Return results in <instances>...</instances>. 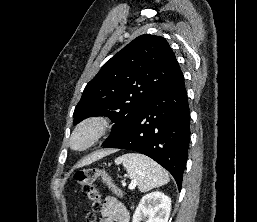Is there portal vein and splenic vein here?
Returning <instances> with one entry per match:
<instances>
[{"label":"portal vein and splenic vein","mask_w":257,"mask_h":222,"mask_svg":"<svg viewBox=\"0 0 257 222\" xmlns=\"http://www.w3.org/2000/svg\"><path fill=\"white\" fill-rule=\"evenodd\" d=\"M135 184L134 183H131L128 187H129V189H134L135 188Z\"/></svg>","instance_id":"portal-vein-and-splenic-vein-1"}]
</instances>
